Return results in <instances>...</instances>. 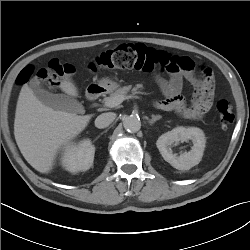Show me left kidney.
Returning a JSON list of instances; mask_svg holds the SVG:
<instances>
[{
	"mask_svg": "<svg viewBox=\"0 0 250 250\" xmlns=\"http://www.w3.org/2000/svg\"><path fill=\"white\" fill-rule=\"evenodd\" d=\"M187 140H192L193 142L192 149L189 152H184L180 155L173 153L171 147L175 142ZM205 143V135L200 128L176 127L162 134L158 138L156 146L164 160L171 166L178 170H189L201 161Z\"/></svg>",
	"mask_w": 250,
	"mask_h": 250,
	"instance_id": "5707ae66",
	"label": "left kidney"
}]
</instances>
